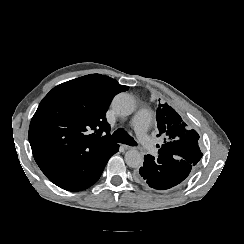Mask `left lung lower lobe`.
I'll return each instance as SVG.
<instances>
[{"label": "left lung lower lobe", "instance_id": "left-lung-lower-lobe-1", "mask_svg": "<svg viewBox=\"0 0 244 244\" xmlns=\"http://www.w3.org/2000/svg\"><path fill=\"white\" fill-rule=\"evenodd\" d=\"M195 166L176 159L172 154H159L157 158L144 156V165L136 172V179L141 184L159 190L169 189L181 183Z\"/></svg>", "mask_w": 244, "mask_h": 244}]
</instances>
